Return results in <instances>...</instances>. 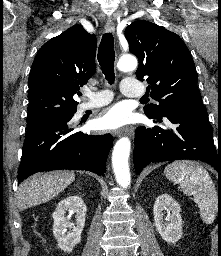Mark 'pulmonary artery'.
I'll return each instance as SVG.
<instances>
[{
    "label": "pulmonary artery",
    "instance_id": "obj_1",
    "mask_svg": "<svg viewBox=\"0 0 221 256\" xmlns=\"http://www.w3.org/2000/svg\"><path fill=\"white\" fill-rule=\"evenodd\" d=\"M121 91L127 97H140L144 93V88L136 79L126 78L122 81ZM86 95L89 101L79 106L77 114H81L89 109L101 107L111 100V94L108 91L87 92Z\"/></svg>",
    "mask_w": 221,
    "mask_h": 256
}]
</instances>
